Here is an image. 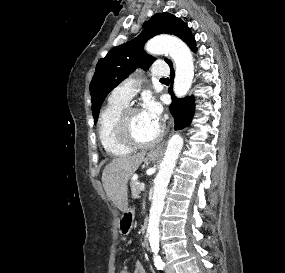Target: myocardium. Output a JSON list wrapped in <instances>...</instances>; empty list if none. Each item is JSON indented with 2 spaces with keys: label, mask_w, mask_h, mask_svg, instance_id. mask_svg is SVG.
<instances>
[{
  "label": "myocardium",
  "mask_w": 285,
  "mask_h": 273,
  "mask_svg": "<svg viewBox=\"0 0 285 273\" xmlns=\"http://www.w3.org/2000/svg\"><path fill=\"white\" fill-rule=\"evenodd\" d=\"M137 111H139V109L136 107H125L121 111L116 123L117 138L122 144L132 149L151 147L163 139L165 135V127L160 125L157 136L150 141L142 142L137 140L131 133L129 126L130 115Z\"/></svg>",
  "instance_id": "myocardium-1"
}]
</instances>
